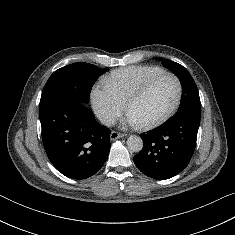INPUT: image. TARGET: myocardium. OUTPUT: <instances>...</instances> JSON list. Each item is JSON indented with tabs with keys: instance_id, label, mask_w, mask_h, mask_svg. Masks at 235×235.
I'll list each match as a JSON object with an SVG mask.
<instances>
[{
	"instance_id": "1",
	"label": "myocardium",
	"mask_w": 235,
	"mask_h": 235,
	"mask_svg": "<svg viewBox=\"0 0 235 235\" xmlns=\"http://www.w3.org/2000/svg\"><path fill=\"white\" fill-rule=\"evenodd\" d=\"M163 77H170L172 78L176 85H177V94H176V98L174 103L172 104V106L169 108V110L164 113L162 116H160L159 118L147 122V123H143L140 124V128L142 129H152L155 127L160 126L161 124H163L164 122H166L168 119H170L175 112L177 111L180 103H181V99H182V94H183V86L181 83V80L178 78V76H176L174 73L171 72H167V71H163L161 73H158L152 77H150L148 80H146L126 101L125 103V108L127 111H129V108L131 107V105L133 103H135L137 100H139L140 98H142L147 92L148 90L151 88V86L160 78Z\"/></svg>"
}]
</instances>
